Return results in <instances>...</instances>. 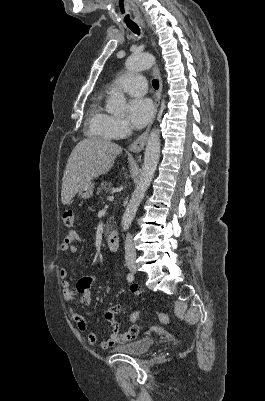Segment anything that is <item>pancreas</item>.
<instances>
[{"label":"pancreas","instance_id":"obj_1","mask_svg":"<svg viewBox=\"0 0 265 401\" xmlns=\"http://www.w3.org/2000/svg\"><path fill=\"white\" fill-rule=\"evenodd\" d=\"M102 190H105L106 194H107V192H110V194H113L112 182H107V180H104V182H102L101 186H99V188H97L96 194H100V192H102ZM102 194H103V192H102ZM103 196H105V194H103ZM103 196H100V198H103ZM108 223H110V221H108ZM110 229H112V227H110V225H106L105 235H108Z\"/></svg>","mask_w":265,"mask_h":401}]
</instances>
